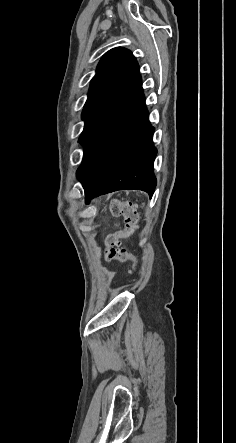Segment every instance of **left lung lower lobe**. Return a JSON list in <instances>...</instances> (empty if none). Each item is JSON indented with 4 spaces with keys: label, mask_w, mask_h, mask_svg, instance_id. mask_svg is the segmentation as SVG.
Segmentation results:
<instances>
[{
    "label": "left lung lower lobe",
    "mask_w": 236,
    "mask_h": 443,
    "mask_svg": "<svg viewBox=\"0 0 236 443\" xmlns=\"http://www.w3.org/2000/svg\"><path fill=\"white\" fill-rule=\"evenodd\" d=\"M141 76L80 138L83 162L77 177L89 203L95 196L121 189H139L152 197L156 178L153 144Z\"/></svg>",
    "instance_id": "0a47b994"
}]
</instances>
